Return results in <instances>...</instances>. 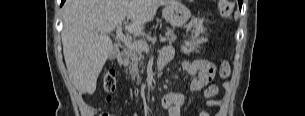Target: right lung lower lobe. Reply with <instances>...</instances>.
I'll return each instance as SVG.
<instances>
[{"mask_svg":"<svg viewBox=\"0 0 305 116\" xmlns=\"http://www.w3.org/2000/svg\"><path fill=\"white\" fill-rule=\"evenodd\" d=\"M64 2H65V0H61V6L63 5Z\"/></svg>","mask_w":305,"mask_h":116,"instance_id":"right-lung-lower-lobe-1","label":"right lung lower lobe"}]
</instances>
